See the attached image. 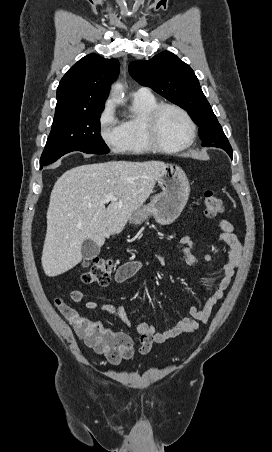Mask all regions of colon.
Masks as SVG:
<instances>
[{
  "mask_svg": "<svg viewBox=\"0 0 272 452\" xmlns=\"http://www.w3.org/2000/svg\"><path fill=\"white\" fill-rule=\"evenodd\" d=\"M204 212L207 217L215 218L224 211L223 201L212 191L205 192L203 196ZM114 269V263L110 258L94 257L89 262L88 270L83 273L82 281L87 284H97L106 286L110 283L111 274ZM55 305L63 312H70L71 307L62 299L57 298ZM97 347L106 355L108 361L118 363L128 358L127 353L123 351L118 342L111 336L102 337Z\"/></svg>",
  "mask_w": 272,
  "mask_h": 452,
  "instance_id": "obj_1",
  "label": "colon"
}]
</instances>
